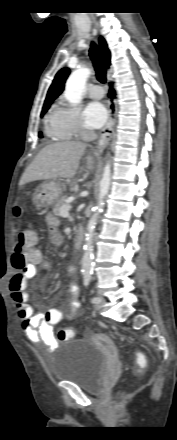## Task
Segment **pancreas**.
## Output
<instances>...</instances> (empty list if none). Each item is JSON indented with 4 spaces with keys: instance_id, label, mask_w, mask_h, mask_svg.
Returning a JSON list of instances; mask_svg holds the SVG:
<instances>
[{
    "instance_id": "pancreas-1",
    "label": "pancreas",
    "mask_w": 177,
    "mask_h": 440,
    "mask_svg": "<svg viewBox=\"0 0 177 440\" xmlns=\"http://www.w3.org/2000/svg\"><path fill=\"white\" fill-rule=\"evenodd\" d=\"M66 199H67V196H62L61 198H59V199L56 201V203H55V205H54V207H53V213H54V215H56V216H60V209H61L62 206L65 205V201H66Z\"/></svg>"
}]
</instances>
